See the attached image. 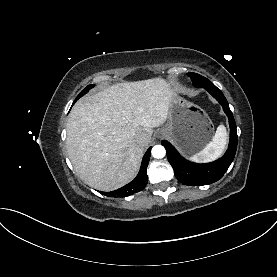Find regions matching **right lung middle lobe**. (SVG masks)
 I'll use <instances>...</instances> for the list:
<instances>
[{
	"label": "right lung middle lobe",
	"instance_id": "obj_1",
	"mask_svg": "<svg viewBox=\"0 0 277 277\" xmlns=\"http://www.w3.org/2000/svg\"><path fill=\"white\" fill-rule=\"evenodd\" d=\"M94 85H89L87 86L85 89H83L80 94L77 96V98L75 99V101L73 102V104L80 98L82 97L84 94H86V92H88Z\"/></svg>",
	"mask_w": 277,
	"mask_h": 277
}]
</instances>
